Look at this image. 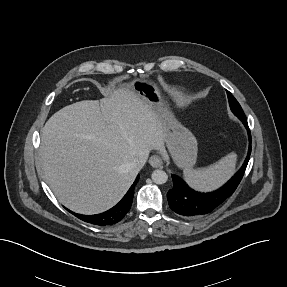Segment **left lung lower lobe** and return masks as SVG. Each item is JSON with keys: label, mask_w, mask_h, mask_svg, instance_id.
I'll return each instance as SVG.
<instances>
[{"label": "left lung lower lobe", "mask_w": 287, "mask_h": 287, "mask_svg": "<svg viewBox=\"0 0 287 287\" xmlns=\"http://www.w3.org/2000/svg\"><path fill=\"white\" fill-rule=\"evenodd\" d=\"M245 125L249 135V151L241 169L221 188L210 192L200 193L191 189L183 179L172 175L173 186L167 193V199L172 211L186 218H197L211 213L228 199L239 185L246 170L251 154V134L246 117H238Z\"/></svg>", "instance_id": "obj_1"}]
</instances>
